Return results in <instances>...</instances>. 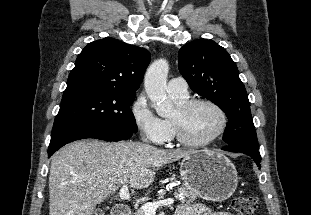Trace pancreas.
I'll use <instances>...</instances> for the list:
<instances>
[{
	"label": "pancreas",
	"mask_w": 311,
	"mask_h": 215,
	"mask_svg": "<svg viewBox=\"0 0 311 215\" xmlns=\"http://www.w3.org/2000/svg\"><path fill=\"white\" fill-rule=\"evenodd\" d=\"M165 192L159 194V199L164 196ZM176 197L181 203H193L196 200V194L189 191L185 186L178 187V193H175ZM134 215H145L142 209H138Z\"/></svg>",
	"instance_id": "pancreas-1"
}]
</instances>
